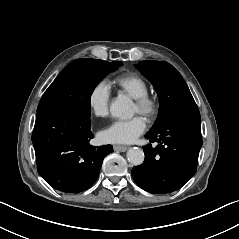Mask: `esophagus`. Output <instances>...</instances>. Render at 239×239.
Segmentation results:
<instances>
[{"label": "esophagus", "mask_w": 239, "mask_h": 239, "mask_svg": "<svg viewBox=\"0 0 239 239\" xmlns=\"http://www.w3.org/2000/svg\"><path fill=\"white\" fill-rule=\"evenodd\" d=\"M113 149H114V151H116V152H125V151L128 149V147H126V146L114 145V146H113Z\"/></svg>", "instance_id": "obj_1"}]
</instances>
